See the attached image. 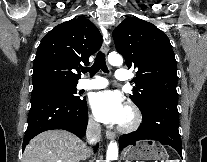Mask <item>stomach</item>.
<instances>
[{
	"instance_id": "1",
	"label": "stomach",
	"mask_w": 207,
	"mask_h": 162,
	"mask_svg": "<svg viewBox=\"0 0 207 162\" xmlns=\"http://www.w3.org/2000/svg\"><path fill=\"white\" fill-rule=\"evenodd\" d=\"M126 162L133 160H165L168 158L166 149L153 141H140L129 146L123 153Z\"/></svg>"
}]
</instances>
